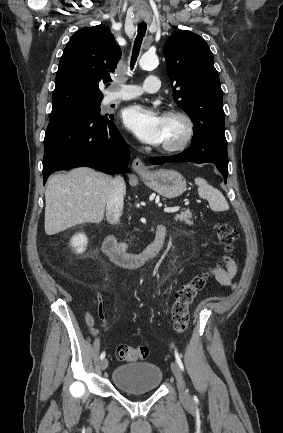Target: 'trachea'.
<instances>
[{"instance_id":"obj_1","label":"trachea","mask_w":283,"mask_h":433,"mask_svg":"<svg viewBox=\"0 0 283 433\" xmlns=\"http://www.w3.org/2000/svg\"><path fill=\"white\" fill-rule=\"evenodd\" d=\"M147 26L146 25H138L137 29V36L135 38L134 44H133V50H132V56L130 61V68L133 69L135 62L137 60V57L140 52L141 44L143 41V38L146 33Z\"/></svg>"}]
</instances>
